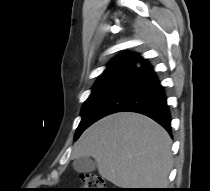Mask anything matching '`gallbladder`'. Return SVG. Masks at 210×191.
<instances>
[{"instance_id":"obj_1","label":"gallbladder","mask_w":210,"mask_h":191,"mask_svg":"<svg viewBox=\"0 0 210 191\" xmlns=\"http://www.w3.org/2000/svg\"><path fill=\"white\" fill-rule=\"evenodd\" d=\"M73 168L79 173H90L95 171L96 163L90 157H80L73 161Z\"/></svg>"}]
</instances>
